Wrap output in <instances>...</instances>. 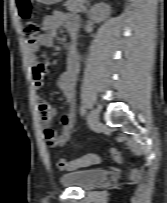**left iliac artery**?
Returning <instances> with one entry per match:
<instances>
[{
	"mask_svg": "<svg viewBox=\"0 0 167 203\" xmlns=\"http://www.w3.org/2000/svg\"><path fill=\"white\" fill-rule=\"evenodd\" d=\"M81 115H84L86 112V105H82L80 108Z\"/></svg>",
	"mask_w": 167,
	"mask_h": 203,
	"instance_id": "44dca946",
	"label": "left iliac artery"
}]
</instances>
